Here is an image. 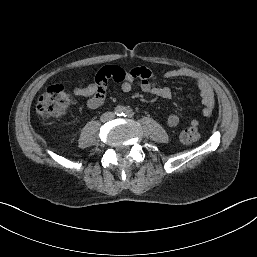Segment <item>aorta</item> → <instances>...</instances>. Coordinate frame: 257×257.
<instances>
[{"mask_svg": "<svg viewBox=\"0 0 257 257\" xmlns=\"http://www.w3.org/2000/svg\"><path fill=\"white\" fill-rule=\"evenodd\" d=\"M123 112H124V108H123L122 106L116 107V113H117V114H121V113H123Z\"/></svg>", "mask_w": 257, "mask_h": 257, "instance_id": "aorta-1", "label": "aorta"}]
</instances>
